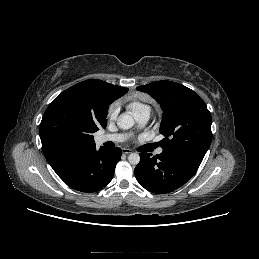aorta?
Segmentation results:
<instances>
[{
  "instance_id": "obj_1",
  "label": "aorta",
  "mask_w": 259,
  "mask_h": 259,
  "mask_svg": "<svg viewBox=\"0 0 259 259\" xmlns=\"http://www.w3.org/2000/svg\"><path fill=\"white\" fill-rule=\"evenodd\" d=\"M117 125L124 130L130 129L134 125L133 117L128 113H122L117 119ZM128 161L132 165H137L140 162V156L137 153H131Z\"/></svg>"
}]
</instances>
